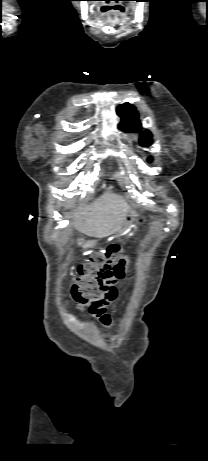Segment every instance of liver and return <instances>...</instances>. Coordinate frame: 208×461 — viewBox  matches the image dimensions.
<instances>
[{
	"label": "liver",
	"mask_w": 208,
	"mask_h": 461,
	"mask_svg": "<svg viewBox=\"0 0 208 461\" xmlns=\"http://www.w3.org/2000/svg\"><path fill=\"white\" fill-rule=\"evenodd\" d=\"M129 206L119 195L105 193L92 205L74 210L71 218L81 233L95 238L115 234L124 225Z\"/></svg>",
	"instance_id": "6515ba94"
}]
</instances>
